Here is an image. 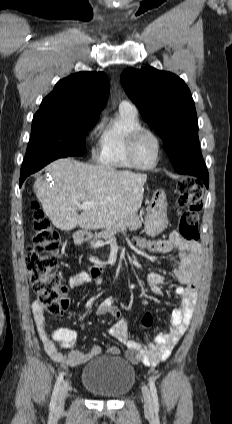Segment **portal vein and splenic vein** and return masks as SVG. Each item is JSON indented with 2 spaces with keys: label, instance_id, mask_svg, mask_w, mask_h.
<instances>
[{
  "label": "portal vein and splenic vein",
  "instance_id": "obj_1",
  "mask_svg": "<svg viewBox=\"0 0 232 424\" xmlns=\"http://www.w3.org/2000/svg\"><path fill=\"white\" fill-rule=\"evenodd\" d=\"M95 205V203L94 202H92V201H86V202H83V203H78L77 204V206H78V209H90L91 207H93Z\"/></svg>",
  "mask_w": 232,
  "mask_h": 424
}]
</instances>
